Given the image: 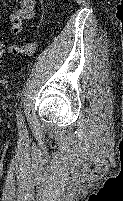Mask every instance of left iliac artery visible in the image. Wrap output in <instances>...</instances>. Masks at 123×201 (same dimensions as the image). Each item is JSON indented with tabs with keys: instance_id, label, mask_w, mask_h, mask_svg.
<instances>
[{
	"instance_id": "1",
	"label": "left iliac artery",
	"mask_w": 123,
	"mask_h": 201,
	"mask_svg": "<svg viewBox=\"0 0 123 201\" xmlns=\"http://www.w3.org/2000/svg\"><path fill=\"white\" fill-rule=\"evenodd\" d=\"M17 124H18L20 133H24L26 129H25L24 119H23L20 109L17 111Z\"/></svg>"
}]
</instances>
